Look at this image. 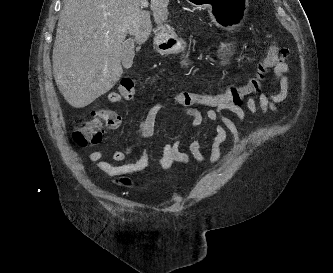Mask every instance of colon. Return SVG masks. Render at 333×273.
Here are the masks:
<instances>
[{
	"label": "colon",
	"instance_id": "obj_1",
	"mask_svg": "<svg viewBox=\"0 0 333 273\" xmlns=\"http://www.w3.org/2000/svg\"><path fill=\"white\" fill-rule=\"evenodd\" d=\"M271 37V35H269ZM281 48L272 40L266 55L258 63L255 74L242 86H231L225 92L213 94L204 92L182 91L175 95L174 101L186 108L203 107L206 109L228 108L231 106H242L251 95L261 92L263 82L269 72L274 69ZM135 86L132 79H123L118 88V93L125 98H132ZM115 115L107 110H98L93 113L91 119L79 123L73 133L75 142L80 146L97 144L102 140L103 131L116 122Z\"/></svg>",
	"mask_w": 333,
	"mask_h": 273
}]
</instances>
